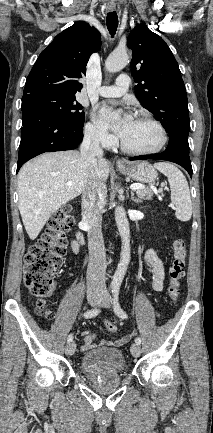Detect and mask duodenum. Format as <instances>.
<instances>
[{
    "instance_id": "410a0bca",
    "label": "duodenum",
    "mask_w": 213,
    "mask_h": 433,
    "mask_svg": "<svg viewBox=\"0 0 213 433\" xmlns=\"http://www.w3.org/2000/svg\"><path fill=\"white\" fill-rule=\"evenodd\" d=\"M76 237H77V242L78 243H83V234H82V232L78 231L77 234H76Z\"/></svg>"
}]
</instances>
